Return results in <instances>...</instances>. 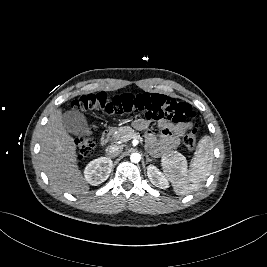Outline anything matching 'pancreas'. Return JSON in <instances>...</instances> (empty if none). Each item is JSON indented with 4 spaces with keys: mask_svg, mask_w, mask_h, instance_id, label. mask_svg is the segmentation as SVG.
Listing matches in <instances>:
<instances>
[{
    "mask_svg": "<svg viewBox=\"0 0 267 267\" xmlns=\"http://www.w3.org/2000/svg\"><path fill=\"white\" fill-rule=\"evenodd\" d=\"M125 135H133V136H136L138 137L139 139H141L140 135L138 132H135L130 126H123V127H119L117 128L114 132H113V137L116 139V140H120L122 141V138L125 136ZM123 142V141H122ZM176 155V151H171V152H168L166 154H164V158L166 159H173L174 156Z\"/></svg>",
    "mask_w": 267,
    "mask_h": 267,
    "instance_id": "obj_1",
    "label": "pancreas"
}]
</instances>
